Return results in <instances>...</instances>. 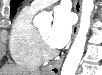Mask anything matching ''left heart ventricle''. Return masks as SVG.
I'll use <instances>...</instances> for the list:
<instances>
[{"label": "left heart ventricle", "instance_id": "obj_1", "mask_svg": "<svg viewBox=\"0 0 102 75\" xmlns=\"http://www.w3.org/2000/svg\"><path fill=\"white\" fill-rule=\"evenodd\" d=\"M41 34L43 35L44 39L47 41L49 46L52 48L50 42H49V33H50V26H46L40 29Z\"/></svg>", "mask_w": 102, "mask_h": 75}]
</instances>
